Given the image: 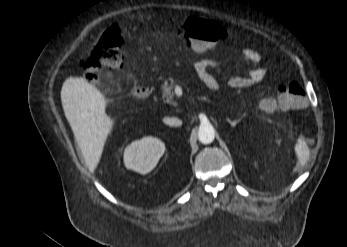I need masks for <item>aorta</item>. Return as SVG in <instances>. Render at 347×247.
<instances>
[{"instance_id": "aorta-1", "label": "aorta", "mask_w": 347, "mask_h": 247, "mask_svg": "<svg viewBox=\"0 0 347 247\" xmlns=\"http://www.w3.org/2000/svg\"><path fill=\"white\" fill-rule=\"evenodd\" d=\"M199 141L203 144L211 143L215 138V130L210 124L201 125L198 133Z\"/></svg>"}]
</instances>
